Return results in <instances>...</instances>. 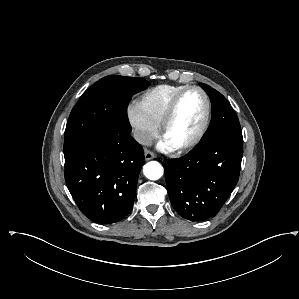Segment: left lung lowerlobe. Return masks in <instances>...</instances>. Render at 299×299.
Segmentation results:
<instances>
[{
    "mask_svg": "<svg viewBox=\"0 0 299 299\" xmlns=\"http://www.w3.org/2000/svg\"><path fill=\"white\" fill-rule=\"evenodd\" d=\"M243 139L213 137L178 159L166 160L167 190L173 208L191 221L212 217L239 179Z\"/></svg>",
    "mask_w": 299,
    "mask_h": 299,
    "instance_id": "obj_1",
    "label": "left lung lower lobe"
}]
</instances>
